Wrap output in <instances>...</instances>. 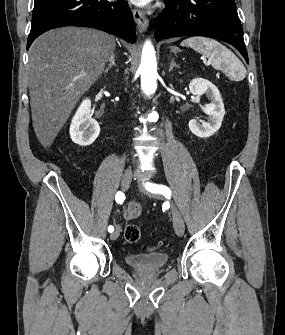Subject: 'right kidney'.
Masks as SVG:
<instances>
[{"label": "right kidney", "instance_id": "obj_1", "mask_svg": "<svg viewBox=\"0 0 285 335\" xmlns=\"http://www.w3.org/2000/svg\"><path fill=\"white\" fill-rule=\"evenodd\" d=\"M89 128V130H88ZM100 134V126L96 120L91 118V102L83 100L70 126V138L74 144L79 146H90Z\"/></svg>", "mask_w": 285, "mask_h": 335}]
</instances>
